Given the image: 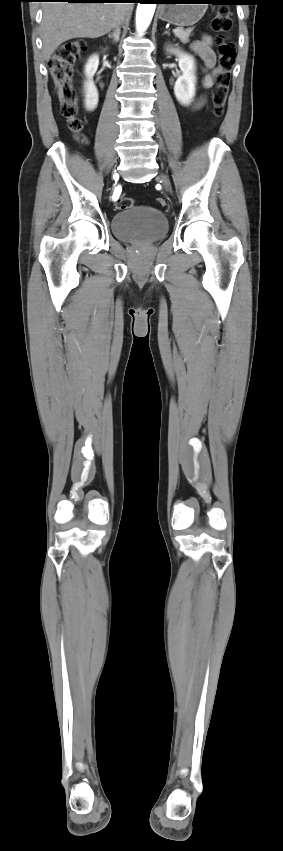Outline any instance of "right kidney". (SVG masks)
<instances>
[{
    "instance_id": "obj_1",
    "label": "right kidney",
    "mask_w": 283,
    "mask_h": 851,
    "mask_svg": "<svg viewBox=\"0 0 283 851\" xmlns=\"http://www.w3.org/2000/svg\"><path fill=\"white\" fill-rule=\"evenodd\" d=\"M99 65V56L92 55L85 65L86 82L84 84L85 91V107L88 111H93L98 105V91L93 81V76L96 73Z\"/></svg>"
}]
</instances>
